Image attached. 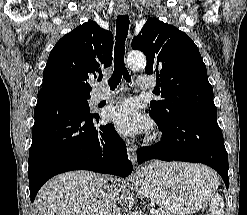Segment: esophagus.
I'll return each mask as SVG.
<instances>
[{"mask_svg": "<svg viewBox=\"0 0 247 215\" xmlns=\"http://www.w3.org/2000/svg\"><path fill=\"white\" fill-rule=\"evenodd\" d=\"M128 10L125 8H122L119 10V13L124 15L127 14ZM129 152H130V159L132 161V163L135 165L136 164V153H137V145L136 144H129Z\"/></svg>", "mask_w": 247, "mask_h": 215, "instance_id": "esophagus-1", "label": "esophagus"}]
</instances>
